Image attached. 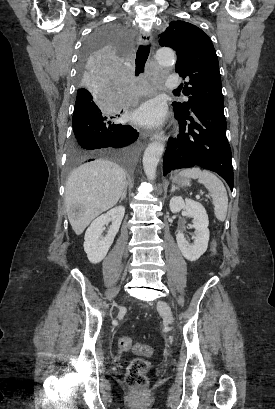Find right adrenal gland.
Returning a JSON list of instances; mask_svg holds the SVG:
<instances>
[{"mask_svg":"<svg viewBox=\"0 0 275 409\" xmlns=\"http://www.w3.org/2000/svg\"><path fill=\"white\" fill-rule=\"evenodd\" d=\"M127 186H128V184H125V188H124V190H123V192L121 194V198H120L119 202H121V200H123V198H126Z\"/></svg>","mask_w":275,"mask_h":409,"instance_id":"obj_1","label":"right adrenal gland"}]
</instances>
